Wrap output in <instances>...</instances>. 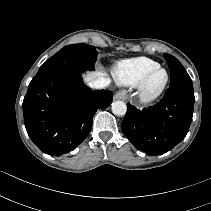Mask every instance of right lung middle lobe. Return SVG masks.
<instances>
[{
	"mask_svg": "<svg viewBox=\"0 0 211 211\" xmlns=\"http://www.w3.org/2000/svg\"><path fill=\"white\" fill-rule=\"evenodd\" d=\"M94 46L72 44L62 48L48 59L38 70L36 76L57 72H78L93 70L97 59Z\"/></svg>",
	"mask_w": 211,
	"mask_h": 211,
	"instance_id": "dd1d6c3e",
	"label": "right lung middle lobe"
}]
</instances>
